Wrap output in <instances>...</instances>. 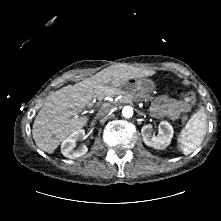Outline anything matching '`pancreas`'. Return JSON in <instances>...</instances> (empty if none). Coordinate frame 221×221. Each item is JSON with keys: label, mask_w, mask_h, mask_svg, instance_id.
<instances>
[{"label": "pancreas", "mask_w": 221, "mask_h": 221, "mask_svg": "<svg viewBox=\"0 0 221 221\" xmlns=\"http://www.w3.org/2000/svg\"><path fill=\"white\" fill-rule=\"evenodd\" d=\"M143 97L145 98V100H148L147 95H144ZM132 100H135V97L133 96V94H127V96H123V101L125 102H130Z\"/></svg>", "instance_id": "1"}]
</instances>
